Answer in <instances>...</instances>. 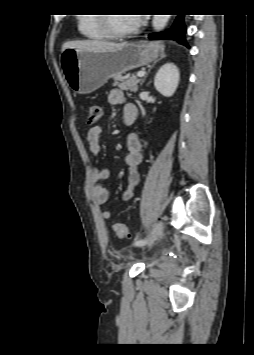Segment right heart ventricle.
Returning <instances> with one entry per match:
<instances>
[{
  "instance_id": "1",
  "label": "right heart ventricle",
  "mask_w": 254,
  "mask_h": 355,
  "mask_svg": "<svg viewBox=\"0 0 254 355\" xmlns=\"http://www.w3.org/2000/svg\"><path fill=\"white\" fill-rule=\"evenodd\" d=\"M99 15L101 14L81 15L78 17V29L84 37L92 40L106 38L99 25Z\"/></svg>"
}]
</instances>
